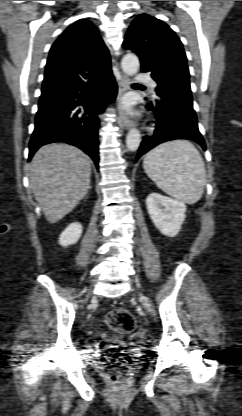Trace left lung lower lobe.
Wrapping results in <instances>:
<instances>
[{
	"instance_id": "left-lung-lower-lobe-1",
	"label": "left lung lower lobe",
	"mask_w": 242,
	"mask_h": 416,
	"mask_svg": "<svg viewBox=\"0 0 242 416\" xmlns=\"http://www.w3.org/2000/svg\"><path fill=\"white\" fill-rule=\"evenodd\" d=\"M146 108L156 113L157 120L153 134L144 136L137 160L156 145L176 139H189L206 149L192 101L162 93L157 99L150 100Z\"/></svg>"
}]
</instances>
